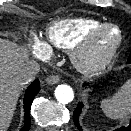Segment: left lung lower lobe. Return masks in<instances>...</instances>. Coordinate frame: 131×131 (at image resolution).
<instances>
[{
	"label": "left lung lower lobe",
	"mask_w": 131,
	"mask_h": 131,
	"mask_svg": "<svg viewBox=\"0 0 131 131\" xmlns=\"http://www.w3.org/2000/svg\"><path fill=\"white\" fill-rule=\"evenodd\" d=\"M82 109H83V104L78 103V105L74 111V114H73L74 124H75L77 130H79V131L84 130V126L82 125L81 120H80V115L82 113ZM114 131H131V121L129 122V124H127L125 126H121Z\"/></svg>",
	"instance_id": "1"
}]
</instances>
